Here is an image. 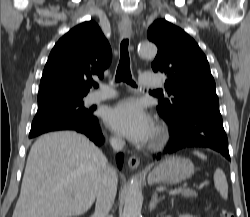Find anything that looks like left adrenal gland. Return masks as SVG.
Returning <instances> with one entry per match:
<instances>
[{
    "mask_svg": "<svg viewBox=\"0 0 250 217\" xmlns=\"http://www.w3.org/2000/svg\"><path fill=\"white\" fill-rule=\"evenodd\" d=\"M164 197H160L158 198V193L155 191L152 198H151V201H150V204H149V210L152 211L155 209V207L157 206L158 202H160V200H162Z\"/></svg>",
    "mask_w": 250,
    "mask_h": 217,
    "instance_id": "left-adrenal-gland-1",
    "label": "left adrenal gland"
}]
</instances>
